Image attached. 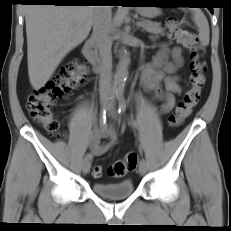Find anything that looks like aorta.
<instances>
[{
	"instance_id": "aorta-1",
	"label": "aorta",
	"mask_w": 231,
	"mask_h": 231,
	"mask_svg": "<svg viewBox=\"0 0 231 231\" xmlns=\"http://www.w3.org/2000/svg\"><path fill=\"white\" fill-rule=\"evenodd\" d=\"M130 63V56L128 51L123 48L121 50L119 64L115 73L113 85L116 91H122L124 89L125 82L128 78V67Z\"/></svg>"
}]
</instances>
